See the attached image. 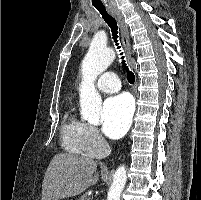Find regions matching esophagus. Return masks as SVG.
<instances>
[{
  "mask_svg": "<svg viewBox=\"0 0 201 200\" xmlns=\"http://www.w3.org/2000/svg\"><path fill=\"white\" fill-rule=\"evenodd\" d=\"M110 12L117 18L119 22L120 30H121V40H122V45L126 54L127 62L129 66L132 69H134L133 62H132V50L130 45L128 26L125 23L124 17L119 10L110 9Z\"/></svg>",
  "mask_w": 201,
  "mask_h": 200,
  "instance_id": "obj_1",
  "label": "esophagus"
}]
</instances>
